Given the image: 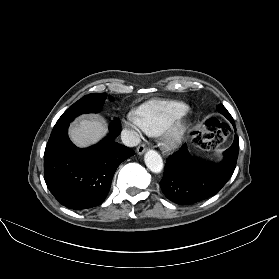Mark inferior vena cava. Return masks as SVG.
<instances>
[{"mask_svg": "<svg viewBox=\"0 0 279 279\" xmlns=\"http://www.w3.org/2000/svg\"><path fill=\"white\" fill-rule=\"evenodd\" d=\"M121 139L124 145L128 147H134L140 143L139 135L132 130H123L121 133Z\"/></svg>", "mask_w": 279, "mask_h": 279, "instance_id": "602c4592", "label": "inferior vena cava"}]
</instances>
